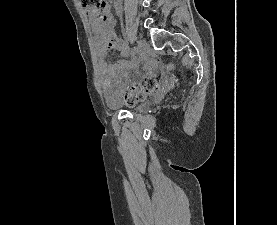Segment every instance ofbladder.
<instances>
[{
    "mask_svg": "<svg viewBox=\"0 0 277 225\" xmlns=\"http://www.w3.org/2000/svg\"><path fill=\"white\" fill-rule=\"evenodd\" d=\"M150 106L149 101L143 100L139 103H134V104H124V103H118L115 105L113 108L115 109H133L136 111H146Z\"/></svg>",
    "mask_w": 277,
    "mask_h": 225,
    "instance_id": "31cf9c89",
    "label": "bladder"
}]
</instances>
